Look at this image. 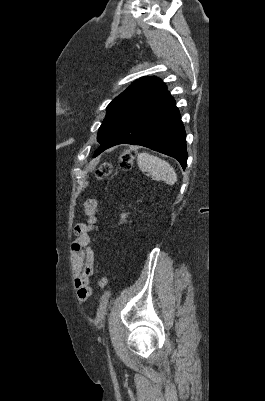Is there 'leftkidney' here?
<instances>
[{"mask_svg": "<svg viewBox=\"0 0 265 401\" xmlns=\"http://www.w3.org/2000/svg\"><path fill=\"white\" fill-rule=\"evenodd\" d=\"M121 217L122 219H126L127 215H124V213H122Z\"/></svg>", "mask_w": 265, "mask_h": 401, "instance_id": "5707ae66", "label": "left kidney"}]
</instances>
